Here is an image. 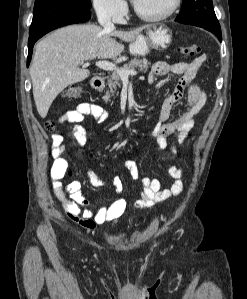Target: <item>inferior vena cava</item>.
Segmentation results:
<instances>
[{"label": "inferior vena cava", "mask_w": 247, "mask_h": 299, "mask_svg": "<svg viewBox=\"0 0 247 299\" xmlns=\"http://www.w3.org/2000/svg\"><path fill=\"white\" fill-rule=\"evenodd\" d=\"M98 22L104 28V30L111 31L113 30L114 24L111 22V14L109 11L101 9L98 11Z\"/></svg>", "instance_id": "1"}]
</instances>
